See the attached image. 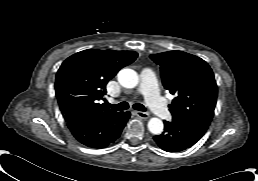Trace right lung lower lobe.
<instances>
[{"instance_id":"98d812e1","label":"right lung lower lobe","mask_w":258,"mask_h":181,"mask_svg":"<svg viewBox=\"0 0 258 181\" xmlns=\"http://www.w3.org/2000/svg\"><path fill=\"white\" fill-rule=\"evenodd\" d=\"M129 117L130 112H118L105 118L87 117L67 125L80 143L92 148H105L120 136Z\"/></svg>"}]
</instances>
